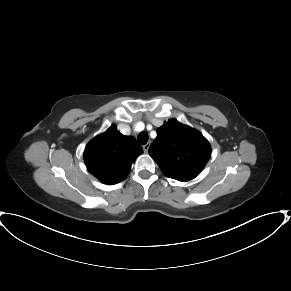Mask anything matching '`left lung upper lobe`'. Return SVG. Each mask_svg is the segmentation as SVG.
<instances>
[{"label":"left lung upper lobe","mask_w":291,"mask_h":291,"mask_svg":"<svg viewBox=\"0 0 291 291\" xmlns=\"http://www.w3.org/2000/svg\"><path fill=\"white\" fill-rule=\"evenodd\" d=\"M149 154L166 176L185 182L203 170L211 148L200 132L177 120H169L157 129Z\"/></svg>","instance_id":"1"}]
</instances>
